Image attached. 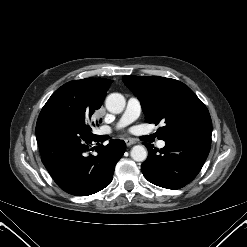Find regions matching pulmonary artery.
Returning <instances> with one entry per match:
<instances>
[{
	"instance_id": "obj_1",
	"label": "pulmonary artery",
	"mask_w": 247,
	"mask_h": 247,
	"mask_svg": "<svg viewBox=\"0 0 247 247\" xmlns=\"http://www.w3.org/2000/svg\"><path fill=\"white\" fill-rule=\"evenodd\" d=\"M141 113V104L140 101L136 97H130L127 101V106L122 114L120 120L117 123V128H122L130 123L134 122L138 119ZM157 146L159 148H163L165 146V142L160 140L157 142Z\"/></svg>"
}]
</instances>
